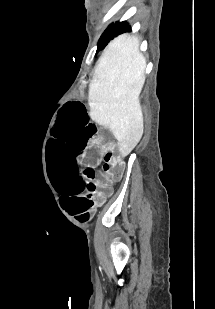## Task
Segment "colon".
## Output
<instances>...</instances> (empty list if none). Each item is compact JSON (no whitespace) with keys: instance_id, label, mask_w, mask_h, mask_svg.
<instances>
[{"instance_id":"1","label":"colon","mask_w":215,"mask_h":309,"mask_svg":"<svg viewBox=\"0 0 215 309\" xmlns=\"http://www.w3.org/2000/svg\"><path fill=\"white\" fill-rule=\"evenodd\" d=\"M103 168L111 171L113 174L121 172V162L117 160V156L113 152H105L103 154Z\"/></svg>"}]
</instances>
